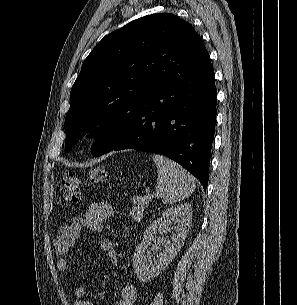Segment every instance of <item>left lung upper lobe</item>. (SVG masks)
Instances as JSON below:
<instances>
[{
  "mask_svg": "<svg viewBox=\"0 0 297 305\" xmlns=\"http://www.w3.org/2000/svg\"><path fill=\"white\" fill-rule=\"evenodd\" d=\"M210 64L200 35L173 14L144 16L105 36L72 86L66 152L90 133L100 137L92 147L93 155H100L164 83Z\"/></svg>",
  "mask_w": 297,
  "mask_h": 305,
  "instance_id": "left-lung-upper-lobe-1",
  "label": "left lung upper lobe"
}]
</instances>
